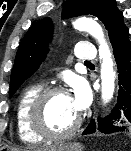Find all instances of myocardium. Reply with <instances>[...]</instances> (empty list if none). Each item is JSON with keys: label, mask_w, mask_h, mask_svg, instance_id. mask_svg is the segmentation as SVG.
<instances>
[{"label": "myocardium", "mask_w": 131, "mask_h": 151, "mask_svg": "<svg viewBox=\"0 0 131 151\" xmlns=\"http://www.w3.org/2000/svg\"><path fill=\"white\" fill-rule=\"evenodd\" d=\"M57 94H68L67 90L62 86H50L42 89L35 97L29 112L30 127L35 134L42 139L47 140H63L71 137L79 129L82 118L78 116L74 124L63 132H52L45 124V110L49 99Z\"/></svg>", "instance_id": "myocardium-1"}]
</instances>
